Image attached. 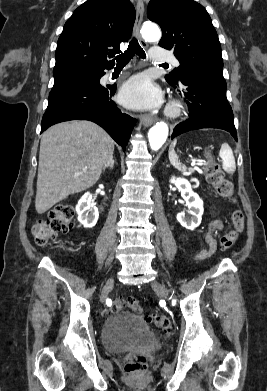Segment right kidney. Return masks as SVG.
Returning a JSON list of instances; mask_svg holds the SVG:
<instances>
[{
    "instance_id": "obj_1",
    "label": "right kidney",
    "mask_w": 267,
    "mask_h": 391,
    "mask_svg": "<svg viewBox=\"0 0 267 391\" xmlns=\"http://www.w3.org/2000/svg\"><path fill=\"white\" fill-rule=\"evenodd\" d=\"M76 212L78 214V221L85 228H92L96 225L99 212L97 207L92 204V195L90 192L85 193L78 201Z\"/></svg>"
}]
</instances>
